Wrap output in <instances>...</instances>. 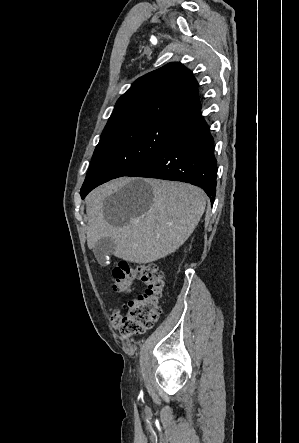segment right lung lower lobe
<instances>
[{
  "label": "right lung lower lobe",
  "instance_id": "right-lung-lower-lobe-1",
  "mask_svg": "<svg viewBox=\"0 0 299 443\" xmlns=\"http://www.w3.org/2000/svg\"><path fill=\"white\" fill-rule=\"evenodd\" d=\"M213 151V138L198 109L182 121L177 134L158 153L125 176L197 185L213 202L217 171Z\"/></svg>",
  "mask_w": 299,
  "mask_h": 443
}]
</instances>
